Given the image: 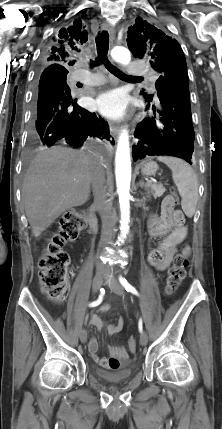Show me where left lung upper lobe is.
Returning a JSON list of instances; mask_svg holds the SVG:
<instances>
[{"mask_svg":"<svg viewBox=\"0 0 222 429\" xmlns=\"http://www.w3.org/2000/svg\"><path fill=\"white\" fill-rule=\"evenodd\" d=\"M127 44L136 58L149 57L151 67L160 74L156 82L157 90L169 79H178L189 85L187 65L183 50L176 39L167 36L156 26L136 19L129 27ZM145 98L153 95L141 91Z\"/></svg>","mask_w":222,"mask_h":429,"instance_id":"obj_1","label":"left lung upper lobe"}]
</instances>
